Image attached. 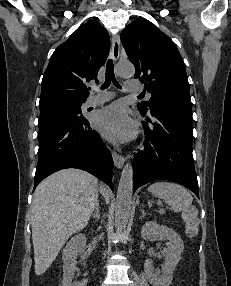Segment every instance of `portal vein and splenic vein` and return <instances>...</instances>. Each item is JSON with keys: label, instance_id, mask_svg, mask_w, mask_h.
<instances>
[{"label": "portal vein and splenic vein", "instance_id": "1", "mask_svg": "<svg viewBox=\"0 0 231 286\" xmlns=\"http://www.w3.org/2000/svg\"><path fill=\"white\" fill-rule=\"evenodd\" d=\"M158 203L162 205V202L159 201Z\"/></svg>", "mask_w": 231, "mask_h": 286}]
</instances>
